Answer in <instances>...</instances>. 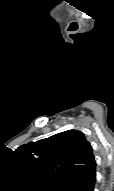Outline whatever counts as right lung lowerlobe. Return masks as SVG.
Here are the masks:
<instances>
[{"mask_svg":"<svg viewBox=\"0 0 114 191\" xmlns=\"http://www.w3.org/2000/svg\"><path fill=\"white\" fill-rule=\"evenodd\" d=\"M96 172L78 176L57 188V191H93L96 181Z\"/></svg>","mask_w":114,"mask_h":191,"instance_id":"98d812e1","label":"right lung lower lobe"}]
</instances>
